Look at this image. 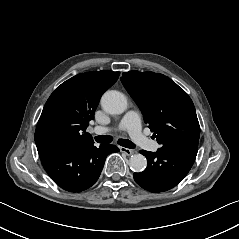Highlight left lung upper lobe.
<instances>
[{
	"mask_svg": "<svg viewBox=\"0 0 239 239\" xmlns=\"http://www.w3.org/2000/svg\"><path fill=\"white\" fill-rule=\"evenodd\" d=\"M121 81L162 147H198L200 126L195 107L182 88L165 75L154 72H125Z\"/></svg>",
	"mask_w": 239,
	"mask_h": 239,
	"instance_id": "obj_1",
	"label": "left lung upper lobe"
}]
</instances>
